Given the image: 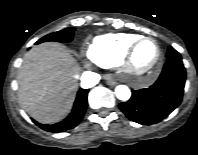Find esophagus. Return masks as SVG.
Listing matches in <instances>:
<instances>
[{
	"instance_id": "obj_1",
	"label": "esophagus",
	"mask_w": 198,
	"mask_h": 155,
	"mask_svg": "<svg viewBox=\"0 0 198 155\" xmlns=\"http://www.w3.org/2000/svg\"><path fill=\"white\" fill-rule=\"evenodd\" d=\"M106 83L110 86H115L117 84L116 80L111 75L105 76Z\"/></svg>"
}]
</instances>
